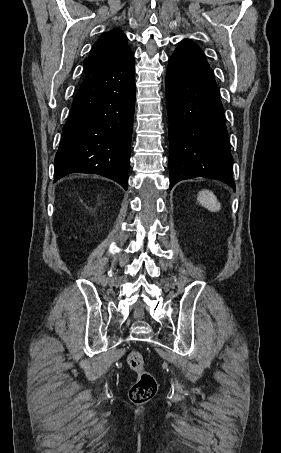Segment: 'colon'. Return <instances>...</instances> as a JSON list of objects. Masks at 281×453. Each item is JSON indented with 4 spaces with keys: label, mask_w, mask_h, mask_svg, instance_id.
<instances>
[{
    "label": "colon",
    "mask_w": 281,
    "mask_h": 453,
    "mask_svg": "<svg viewBox=\"0 0 281 453\" xmlns=\"http://www.w3.org/2000/svg\"><path fill=\"white\" fill-rule=\"evenodd\" d=\"M125 361L137 377L136 383L129 391V400L136 404L150 401L158 388L155 375L148 370L143 356L137 351L127 353Z\"/></svg>",
    "instance_id": "5ec220e1"
}]
</instances>
